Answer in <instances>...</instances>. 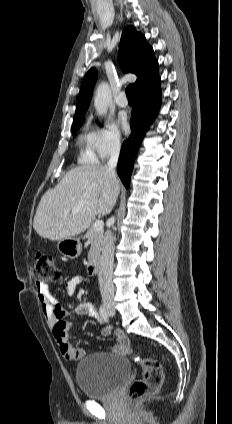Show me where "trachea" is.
Wrapping results in <instances>:
<instances>
[{"label": "trachea", "instance_id": "1", "mask_svg": "<svg viewBox=\"0 0 232 424\" xmlns=\"http://www.w3.org/2000/svg\"><path fill=\"white\" fill-rule=\"evenodd\" d=\"M126 95L128 100H134L135 98V85L131 84L126 88Z\"/></svg>", "mask_w": 232, "mask_h": 424}]
</instances>
